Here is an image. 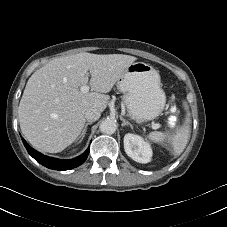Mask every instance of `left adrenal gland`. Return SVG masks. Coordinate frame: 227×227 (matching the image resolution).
<instances>
[{
	"label": "left adrenal gland",
	"mask_w": 227,
	"mask_h": 227,
	"mask_svg": "<svg viewBox=\"0 0 227 227\" xmlns=\"http://www.w3.org/2000/svg\"><path fill=\"white\" fill-rule=\"evenodd\" d=\"M120 119L122 120V126H130L132 128V125L127 122L122 116L120 117Z\"/></svg>",
	"instance_id": "a2214340"
}]
</instances>
